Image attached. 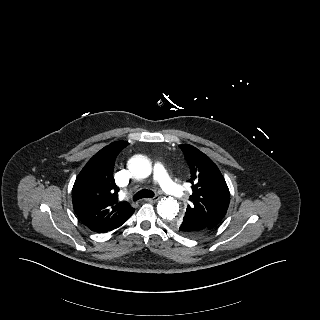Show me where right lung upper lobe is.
<instances>
[{
	"label": "right lung upper lobe",
	"mask_w": 320,
	"mask_h": 320,
	"mask_svg": "<svg viewBox=\"0 0 320 320\" xmlns=\"http://www.w3.org/2000/svg\"><path fill=\"white\" fill-rule=\"evenodd\" d=\"M128 145L115 141L98 151L77 176L72 202L78 218L92 231L103 232L125 223L134 213L128 202H119L114 162Z\"/></svg>",
	"instance_id": "obj_1"
}]
</instances>
